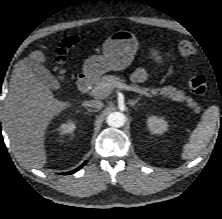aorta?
<instances>
[{
    "mask_svg": "<svg viewBox=\"0 0 222 219\" xmlns=\"http://www.w3.org/2000/svg\"><path fill=\"white\" fill-rule=\"evenodd\" d=\"M125 121V115L121 112H112L107 116V124L111 127H122Z\"/></svg>",
    "mask_w": 222,
    "mask_h": 219,
    "instance_id": "1",
    "label": "aorta"
}]
</instances>
